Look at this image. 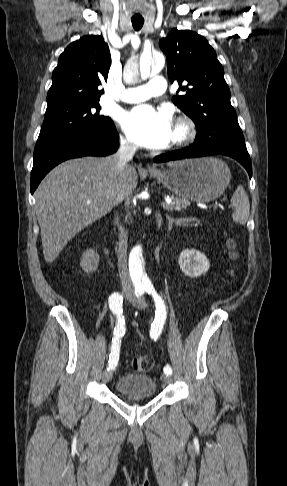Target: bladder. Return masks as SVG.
Wrapping results in <instances>:
<instances>
[{
    "mask_svg": "<svg viewBox=\"0 0 287 486\" xmlns=\"http://www.w3.org/2000/svg\"><path fill=\"white\" fill-rule=\"evenodd\" d=\"M116 391L130 397H152L157 385L153 377L146 374H124L115 383Z\"/></svg>",
    "mask_w": 287,
    "mask_h": 486,
    "instance_id": "bladder-1",
    "label": "bladder"
}]
</instances>
